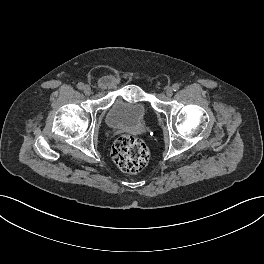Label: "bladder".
<instances>
[{
	"label": "bladder",
	"mask_w": 264,
	"mask_h": 264,
	"mask_svg": "<svg viewBox=\"0 0 264 264\" xmlns=\"http://www.w3.org/2000/svg\"><path fill=\"white\" fill-rule=\"evenodd\" d=\"M148 112L145 101L116 98L106 112L105 124L110 128L135 127L143 122Z\"/></svg>",
	"instance_id": "31cf9c89"
}]
</instances>
